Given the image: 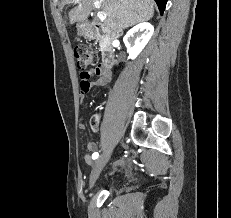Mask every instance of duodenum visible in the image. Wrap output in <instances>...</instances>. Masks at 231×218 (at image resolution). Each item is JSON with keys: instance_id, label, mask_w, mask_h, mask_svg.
Wrapping results in <instances>:
<instances>
[{"instance_id": "1", "label": "duodenum", "mask_w": 231, "mask_h": 218, "mask_svg": "<svg viewBox=\"0 0 231 218\" xmlns=\"http://www.w3.org/2000/svg\"><path fill=\"white\" fill-rule=\"evenodd\" d=\"M84 31L89 37L94 39H102L104 41L103 68L108 70L114 62L113 53V33L105 26L99 23L85 22L83 25Z\"/></svg>"}]
</instances>
